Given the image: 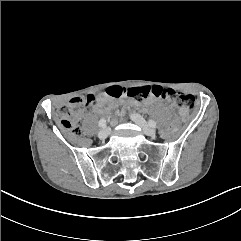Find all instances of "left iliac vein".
Returning <instances> with one entry per match:
<instances>
[{
  "label": "left iliac vein",
  "mask_w": 241,
  "mask_h": 241,
  "mask_svg": "<svg viewBox=\"0 0 241 241\" xmlns=\"http://www.w3.org/2000/svg\"><path fill=\"white\" fill-rule=\"evenodd\" d=\"M131 119L142 129L145 135L154 136L155 130L139 114H132Z\"/></svg>",
  "instance_id": "1"
}]
</instances>
